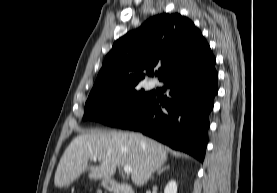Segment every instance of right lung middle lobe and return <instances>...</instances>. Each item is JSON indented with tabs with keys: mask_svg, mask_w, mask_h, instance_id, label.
<instances>
[{
	"mask_svg": "<svg viewBox=\"0 0 277 193\" xmlns=\"http://www.w3.org/2000/svg\"><path fill=\"white\" fill-rule=\"evenodd\" d=\"M152 97L136 86L90 94L84 108L83 120L99 121L119 127L139 111Z\"/></svg>",
	"mask_w": 277,
	"mask_h": 193,
	"instance_id": "right-lung-middle-lobe-1",
	"label": "right lung middle lobe"
}]
</instances>
